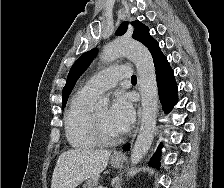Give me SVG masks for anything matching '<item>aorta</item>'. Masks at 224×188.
Segmentation results:
<instances>
[{
  "label": "aorta",
  "mask_w": 224,
  "mask_h": 188,
  "mask_svg": "<svg viewBox=\"0 0 224 188\" xmlns=\"http://www.w3.org/2000/svg\"><path fill=\"white\" fill-rule=\"evenodd\" d=\"M121 56L128 57L136 65L141 92V126L131 152V163L134 165L146 155L154 138L158 112V88L154 62L144 45L131 39H116L103 48L100 60L110 62ZM107 104L108 100L103 98L97 102L96 106L104 107Z\"/></svg>",
  "instance_id": "1"
}]
</instances>
